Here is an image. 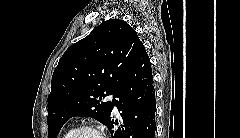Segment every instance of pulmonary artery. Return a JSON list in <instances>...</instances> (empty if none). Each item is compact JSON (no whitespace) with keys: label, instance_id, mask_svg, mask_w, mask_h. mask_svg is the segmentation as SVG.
Wrapping results in <instances>:
<instances>
[{"label":"pulmonary artery","instance_id":"e3ab8cb5","mask_svg":"<svg viewBox=\"0 0 240 138\" xmlns=\"http://www.w3.org/2000/svg\"><path fill=\"white\" fill-rule=\"evenodd\" d=\"M109 100H113V96L108 97ZM114 110L116 111V107L114 106Z\"/></svg>","mask_w":240,"mask_h":138}]
</instances>
